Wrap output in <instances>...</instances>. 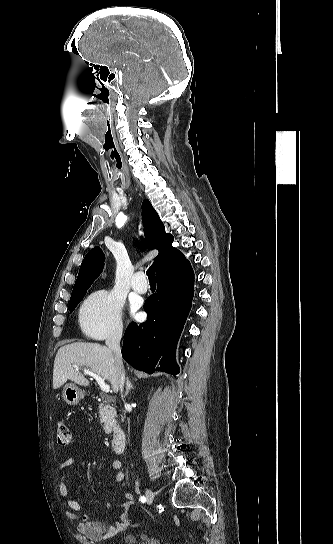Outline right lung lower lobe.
<instances>
[{"label":"right lung lower lobe","instance_id":"1","mask_svg":"<svg viewBox=\"0 0 333 544\" xmlns=\"http://www.w3.org/2000/svg\"><path fill=\"white\" fill-rule=\"evenodd\" d=\"M156 277L157 291L144 304L148 318L144 323L128 326L122 356L138 370L152 373L163 355L158 369L176 375L179 370L174 351L191 308L194 274L187 261Z\"/></svg>","mask_w":333,"mask_h":544}]
</instances>
